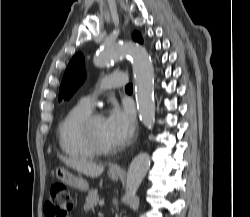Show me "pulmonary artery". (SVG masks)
Segmentation results:
<instances>
[{"label": "pulmonary artery", "mask_w": 250, "mask_h": 217, "mask_svg": "<svg viewBox=\"0 0 250 217\" xmlns=\"http://www.w3.org/2000/svg\"><path fill=\"white\" fill-rule=\"evenodd\" d=\"M127 84V76L124 73H110L103 78V87L105 89L120 88ZM97 97V93H92L85 96L82 102L89 107H92Z\"/></svg>", "instance_id": "obj_1"}]
</instances>
